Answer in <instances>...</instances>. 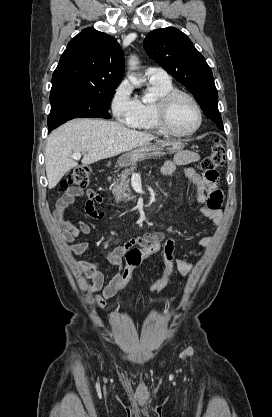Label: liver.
<instances>
[{"mask_svg":"<svg viewBox=\"0 0 272 417\" xmlns=\"http://www.w3.org/2000/svg\"><path fill=\"white\" fill-rule=\"evenodd\" d=\"M156 136L129 129L114 121L74 119L54 130L47 139L45 167L49 188H54L69 170L78 166L73 153H84L83 165L131 151Z\"/></svg>","mask_w":272,"mask_h":417,"instance_id":"liver-1","label":"liver"}]
</instances>
